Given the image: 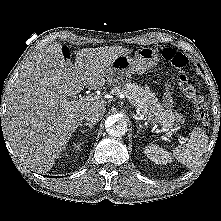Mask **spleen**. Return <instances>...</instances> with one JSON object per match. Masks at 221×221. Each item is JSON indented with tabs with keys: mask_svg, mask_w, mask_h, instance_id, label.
I'll use <instances>...</instances> for the list:
<instances>
[{
	"mask_svg": "<svg viewBox=\"0 0 221 221\" xmlns=\"http://www.w3.org/2000/svg\"><path fill=\"white\" fill-rule=\"evenodd\" d=\"M208 143V135L202 128L192 131L189 141L173 150V156L188 168H193L202 159Z\"/></svg>",
	"mask_w": 221,
	"mask_h": 221,
	"instance_id": "3e777b00",
	"label": "spleen"
}]
</instances>
